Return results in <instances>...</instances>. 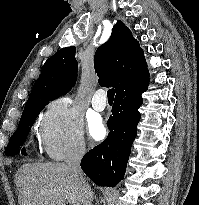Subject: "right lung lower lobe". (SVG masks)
<instances>
[{"label": "right lung lower lobe", "mask_w": 199, "mask_h": 205, "mask_svg": "<svg viewBox=\"0 0 199 205\" xmlns=\"http://www.w3.org/2000/svg\"><path fill=\"white\" fill-rule=\"evenodd\" d=\"M148 74L135 78L116 92L109 135L81 160V168L99 186H116L123 178L131 146L137 135L142 93L147 90Z\"/></svg>", "instance_id": "obj_1"}]
</instances>
